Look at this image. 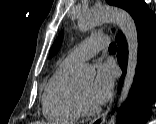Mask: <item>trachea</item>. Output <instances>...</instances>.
Segmentation results:
<instances>
[{
    "instance_id": "1",
    "label": "trachea",
    "mask_w": 156,
    "mask_h": 124,
    "mask_svg": "<svg viewBox=\"0 0 156 124\" xmlns=\"http://www.w3.org/2000/svg\"><path fill=\"white\" fill-rule=\"evenodd\" d=\"M116 49H117V46H116L115 43H111V44L109 45V51H116Z\"/></svg>"
}]
</instances>
